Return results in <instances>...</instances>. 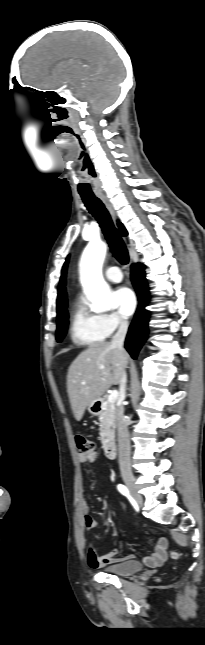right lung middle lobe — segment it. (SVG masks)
<instances>
[{"instance_id": "1", "label": "right lung middle lobe", "mask_w": 205, "mask_h": 645, "mask_svg": "<svg viewBox=\"0 0 205 645\" xmlns=\"http://www.w3.org/2000/svg\"><path fill=\"white\" fill-rule=\"evenodd\" d=\"M67 326H68V313L66 309H64L61 315L57 318V331H56L57 342H60L64 338L66 334Z\"/></svg>"}]
</instances>
